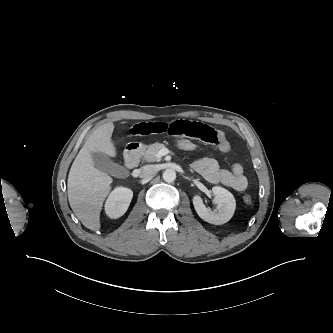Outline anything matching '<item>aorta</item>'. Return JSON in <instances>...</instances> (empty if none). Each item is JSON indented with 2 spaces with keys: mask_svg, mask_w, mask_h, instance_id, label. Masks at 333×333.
Segmentation results:
<instances>
[{
  "mask_svg": "<svg viewBox=\"0 0 333 333\" xmlns=\"http://www.w3.org/2000/svg\"><path fill=\"white\" fill-rule=\"evenodd\" d=\"M165 182L171 183L176 179V172L173 169H166L163 173Z\"/></svg>",
  "mask_w": 333,
  "mask_h": 333,
  "instance_id": "762f6f07",
  "label": "aorta"
}]
</instances>
